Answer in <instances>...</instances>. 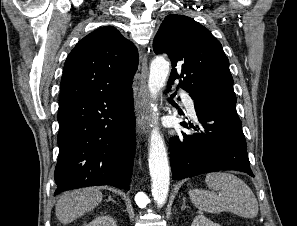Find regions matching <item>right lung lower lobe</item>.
<instances>
[{"mask_svg":"<svg viewBox=\"0 0 297 226\" xmlns=\"http://www.w3.org/2000/svg\"><path fill=\"white\" fill-rule=\"evenodd\" d=\"M58 122L54 195L96 185L129 190L135 150L132 88L60 103Z\"/></svg>","mask_w":297,"mask_h":226,"instance_id":"98d812e1","label":"right lung lower lobe"}]
</instances>
